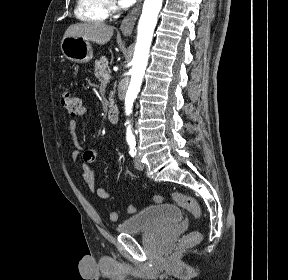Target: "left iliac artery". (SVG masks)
<instances>
[{
	"label": "left iliac artery",
	"mask_w": 288,
	"mask_h": 280,
	"mask_svg": "<svg viewBox=\"0 0 288 280\" xmlns=\"http://www.w3.org/2000/svg\"><path fill=\"white\" fill-rule=\"evenodd\" d=\"M128 145L130 147V151H129V154L134 157L136 155V149H135V141H128Z\"/></svg>",
	"instance_id": "left-iliac-artery-1"
}]
</instances>
